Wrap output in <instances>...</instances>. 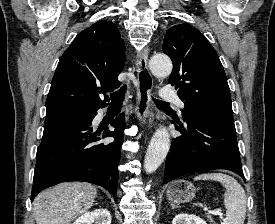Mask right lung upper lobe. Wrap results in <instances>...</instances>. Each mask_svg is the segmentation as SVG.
<instances>
[{
    "mask_svg": "<svg viewBox=\"0 0 275 224\" xmlns=\"http://www.w3.org/2000/svg\"><path fill=\"white\" fill-rule=\"evenodd\" d=\"M124 42L113 22L98 21L83 30L63 53L46 100L47 113L98 108L109 100L100 91L120 86L117 77L124 62Z\"/></svg>",
    "mask_w": 275,
    "mask_h": 224,
    "instance_id": "1",
    "label": "right lung upper lobe"
}]
</instances>
